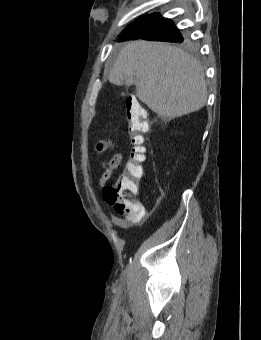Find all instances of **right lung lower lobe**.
I'll use <instances>...</instances> for the list:
<instances>
[{
    "label": "right lung lower lobe",
    "instance_id": "right-lung-lower-lobe-1",
    "mask_svg": "<svg viewBox=\"0 0 261 340\" xmlns=\"http://www.w3.org/2000/svg\"><path fill=\"white\" fill-rule=\"evenodd\" d=\"M179 33V29L170 19H165L159 14H151L142 18L127 30L119 37L118 41L144 39L169 42L172 37Z\"/></svg>",
    "mask_w": 261,
    "mask_h": 340
}]
</instances>
